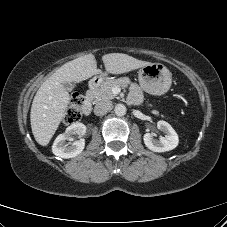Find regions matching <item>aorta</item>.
<instances>
[{
    "mask_svg": "<svg viewBox=\"0 0 227 227\" xmlns=\"http://www.w3.org/2000/svg\"><path fill=\"white\" fill-rule=\"evenodd\" d=\"M114 111L117 116H124L126 114V107L124 104H117Z\"/></svg>",
    "mask_w": 227,
    "mask_h": 227,
    "instance_id": "762f6f07",
    "label": "aorta"
}]
</instances>
